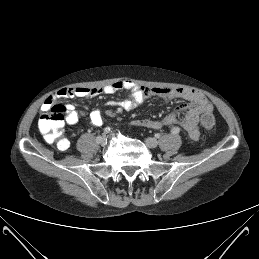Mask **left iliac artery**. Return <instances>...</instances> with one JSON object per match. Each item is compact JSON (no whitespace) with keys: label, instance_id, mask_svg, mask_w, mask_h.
<instances>
[{"label":"left iliac artery","instance_id":"1","mask_svg":"<svg viewBox=\"0 0 259 259\" xmlns=\"http://www.w3.org/2000/svg\"><path fill=\"white\" fill-rule=\"evenodd\" d=\"M179 128L178 127H174L172 130H171V132L173 133V134H177V133H179Z\"/></svg>","mask_w":259,"mask_h":259}]
</instances>
